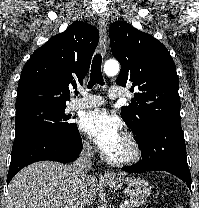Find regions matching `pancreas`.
I'll return each mask as SVG.
<instances>
[{
  "label": "pancreas",
  "mask_w": 199,
  "mask_h": 208,
  "mask_svg": "<svg viewBox=\"0 0 199 208\" xmlns=\"http://www.w3.org/2000/svg\"><path fill=\"white\" fill-rule=\"evenodd\" d=\"M140 205H141V203L138 201L129 200L128 205L126 207L127 208H135V207H139Z\"/></svg>",
  "instance_id": "obj_1"
}]
</instances>
